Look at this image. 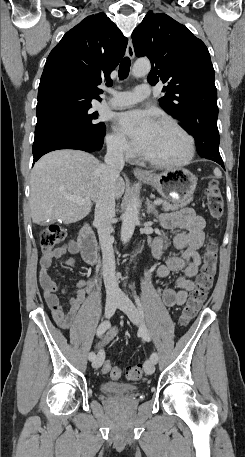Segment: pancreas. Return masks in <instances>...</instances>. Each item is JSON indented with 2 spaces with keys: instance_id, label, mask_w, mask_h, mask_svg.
Listing matches in <instances>:
<instances>
[{
  "instance_id": "pancreas-1",
  "label": "pancreas",
  "mask_w": 245,
  "mask_h": 457,
  "mask_svg": "<svg viewBox=\"0 0 245 457\" xmlns=\"http://www.w3.org/2000/svg\"><path fill=\"white\" fill-rule=\"evenodd\" d=\"M160 200H162V198H160ZM190 200H192V198L181 200V202H179V200H177V202H168V200H162L161 204L163 210H176V208H180V206H186V204H189Z\"/></svg>"
}]
</instances>
